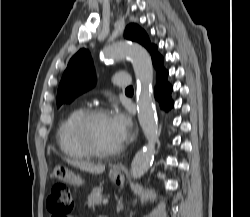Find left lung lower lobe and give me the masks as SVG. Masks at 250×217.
Instances as JSON below:
<instances>
[{
  "label": "left lung lower lobe",
  "instance_id": "1",
  "mask_svg": "<svg viewBox=\"0 0 250 217\" xmlns=\"http://www.w3.org/2000/svg\"><path fill=\"white\" fill-rule=\"evenodd\" d=\"M151 56L153 65L157 71V87L155 97L158 99L161 107L165 110H169L173 107V101L170 97L172 86L166 81L168 72L162 67L163 57L157 52L156 46L152 50Z\"/></svg>",
  "mask_w": 250,
  "mask_h": 217
}]
</instances>
